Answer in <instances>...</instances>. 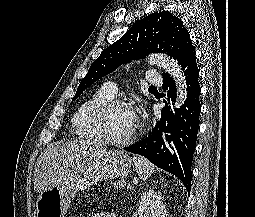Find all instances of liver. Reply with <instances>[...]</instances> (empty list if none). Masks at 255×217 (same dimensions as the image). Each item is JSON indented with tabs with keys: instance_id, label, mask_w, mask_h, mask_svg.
Wrapping results in <instances>:
<instances>
[{
	"instance_id": "1",
	"label": "liver",
	"mask_w": 255,
	"mask_h": 217,
	"mask_svg": "<svg viewBox=\"0 0 255 217\" xmlns=\"http://www.w3.org/2000/svg\"><path fill=\"white\" fill-rule=\"evenodd\" d=\"M106 152L103 144L86 140L49 146L36 162L34 191L41 193L60 184L70 175L103 158Z\"/></svg>"
}]
</instances>
